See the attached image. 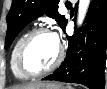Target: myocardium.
Returning a JSON list of instances; mask_svg holds the SVG:
<instances>
[{
	"instance_id": "1",
	"label": "myocardium",
	"mask_w": 107,
	"mask_h": 89,
	"mask_svg": "<svg viewBox=\"0 0 107 89\" xmlns=\"http://www.w3.org/2000/svg\"><path fill=\"white\" fill-rule=\"evenodd\" d=\"M42 33H49L52 35L54 34L53 31L48 27H45V26L37 27L27 34V36L24 38V40L21 43L20 48L18 50L17 66H18L19 70L27 77H39V76H42L44 74H47V73L53 71L54 69H56L63 60L64 51H63L62 46L59 43L58 55H57L55 61L49 67L44 68V69L39 70V71H30L26 68V66L24 64V56H25L26 50H27L30 42L32 41V39L35 36L42 34Z\"/></svg>"
}]
</instances>
